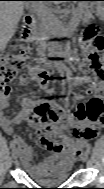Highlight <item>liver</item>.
Here are the masks:
<instances>
[{
  "instance_id": "6515ba94",
  "label": "liver",
  "mask_w": 104,
  "mask_h": 189,
  "mask_svg": "<svg viewBox=\"0 0 104 189\" xmlns=\"http://www.w3.org/2000/svg\"><path fill=\"white\" fill-rule=\"evenodd\" d=\"M23 1H1L0 3V49L3 50L16 31L23 15Z\"/></svg>"
}]
</instances>
